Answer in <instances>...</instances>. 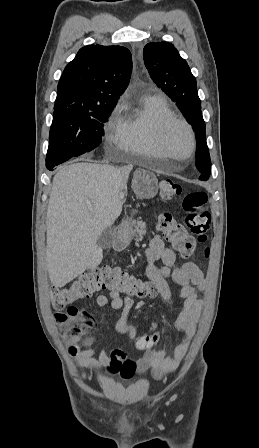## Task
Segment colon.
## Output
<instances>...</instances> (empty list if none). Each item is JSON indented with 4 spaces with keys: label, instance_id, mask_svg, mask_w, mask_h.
<instances>
[{
    "label": "colon",
    "instance_id": "obj_1",
    "mask_svg": "<svg viewBox=\"0 0 259 448\" xmlns=\"http://www.w3.org/2000/svg\"><path fill=\"white\" fill-rule=\"evenodd\" d=\"M159 185L160 196L166 201L173 200L182 192L181 185L171 178L161 179ZM207 199V194L203 191L189 192L184 196L182 207L185 212V225L178 223L170 213H160L157 217L158 230L183 257H191L195 243H205L208 239L211 217L207 209ZM208 253V249H205V256ZM101 290L117 296L135 298L151 297L157 293L152 282L110 267L84 273L67 286L53 287L50 290L51 306L63 338L68 344L78 343L93 327L92 318L73 304ZM159 338L158 332L144 334L136 339V346L138 349L148 350Z\"/></svg>",
    "mask_w": 259,
    "mask_h": 448
}]
</instances>
